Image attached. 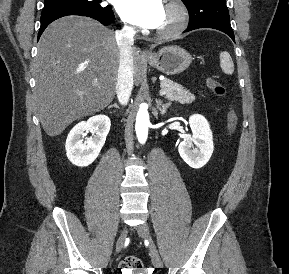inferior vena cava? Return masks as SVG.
Segmentation results:
<instances>
[{
	"instance_id": "1",
	"label": "inferior vena cava",
	"mask_w": 289,
	"mask_h": 274,
	"mask_svg": "<svg viewBox=\"0 0 289 274\" xmlns=\"http://www.w3.org/2000/svg\"><path fill=\"white\" fill-rule=\"evenodd\" d=\"M135 31L132 27L125 26L115 33V39L120 52V63L116 83V94L122 105L127 104L133 88V57L132 45L134 44Z\"/></svg>"
}]
</instances>
